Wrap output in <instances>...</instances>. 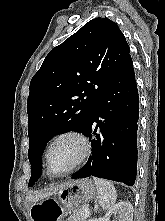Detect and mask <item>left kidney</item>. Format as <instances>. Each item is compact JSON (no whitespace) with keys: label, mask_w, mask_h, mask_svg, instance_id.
<instances>
[{"label":"left kidney","mask_w":165,"mask_h":221,"mask_svg":"<svg viewBox=\"0 0 165 221\" xmlns=\"http://www.w3.org/2000/svg\"><path fill=\"white\" fill-rule=\"evenodd\" d=\"M112 214H117L120 218V221H132L133 206L129 202H119L106 213L103 221H108Z\"/></svg>","instance_id":"1"}]
</instances>
